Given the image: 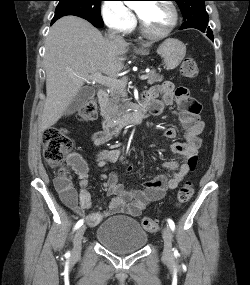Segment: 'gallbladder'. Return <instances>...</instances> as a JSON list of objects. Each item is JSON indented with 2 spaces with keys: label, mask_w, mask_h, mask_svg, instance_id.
I'll return each instance as SVG.
<instances>
[{
  "label": "gallbladder",
  "mask_w": 250,
  "mask_h": 285,
  "mask_svg": "<svg viewBox=\"0 0 250 285\" xmlns=\"http://www.w3.org/2000/svg\"><path fill=\"white\" fill-rule=\"evenodd\" d=\"M95 95V89L92 87H83L77 95L74 97L73 101L68 106L65 115H71L81 107H83L89 99Z\"/></svg>",
  "instance_id": "1"
}]
</instances>
